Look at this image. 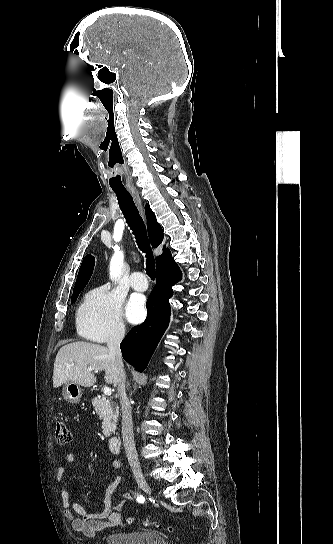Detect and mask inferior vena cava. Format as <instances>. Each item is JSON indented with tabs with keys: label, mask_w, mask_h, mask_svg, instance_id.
<instances>
[{
	"label": "inferior vena cava",
	"mask_w": 333,
	"mask_h": 544,
	"mask_svg": "<svg viewBox=\"0 0 333 544\" xmlns=\"http://www.w3.org/2000/svg\"><path fill=\"white\" fill-rule=\"evenodd\" d=\"M124 334V327H119L118 329L114 330L109 336L107 346L110 354L115 358L117 363V386L122 409V436L126 456L132 468H140L133 437L131 406L125 391L126 376L123 368L122 355L120 350V343L124 338Z\"/></svg>",
	"instance_id": "602c4592"
}]
</instances>
